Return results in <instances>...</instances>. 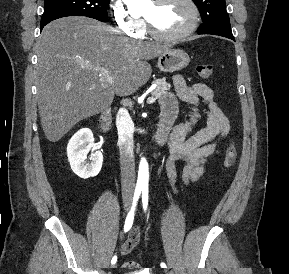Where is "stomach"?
I'll list each match as a JSON object with an SVG mask.
<instances>
[{
  "label": "stomach",
  "instance_id": "stomach-1",
  "mask_svg": "<svg viewBox=\"0 0 289 274\" xmlns=\"http://www.w3.org/2000/svg\"><path fill=\"white\" fill-rule=\"evenodd\" d=\"M190 62L188 54L180 49H168L158 57L157 66L162 72H174L185 68Z\"/></svg>",
  "mask_w": 289,
  "mask_h": 274
}]
</instances>
